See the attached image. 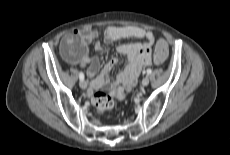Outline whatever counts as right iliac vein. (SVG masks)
<instances>
[{
  "mask_svg": "<svg viewBox=\"0 0 230 155\" xmlns=\"http://www.w3.org/2000/svg\"><path fill=\"white\" fill-rule=\"evenodd\" d=\"M79 85L82 89H86L87 88V83L84 80H80Z\"/></svg>",
  "mask_w": 230,
  "mask_h": 155,
  "instance_id": "1",
  "label": "right iliac vein"
}]
</instances>
